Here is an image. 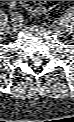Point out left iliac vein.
Returning <instances> with one entry per match:
<instances>
[{
    "label": "left iliac vein",
    "instance_id": "1",
    "mask_svg": "<svg viewBox=\"0 0 74 122\" xmlns=\"http://www.w3.org/2000/svg\"><path fill=\"white\" fill-rule=\"evenodd\" d=\"M60 22L66 23V19L62 18V19L59 20V23H60ZM51 29H52V31H53L55 34H57L58 36H64L65 33H66L65 30H64L63 28H61L60 26L55 25V24L51 26Z\"/></svg>",
    "mask_w": 74,
    "mask_h": 122
}]
</instances>
